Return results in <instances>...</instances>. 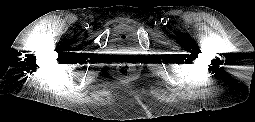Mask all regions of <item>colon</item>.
I'll use <instances>...</instances> for the list:
<instances>
[{
	"label": "colon",
	"instance_id": "5ec220e1",
	"mask_svg": "<svg viewBox=\"0 0 255 122\" xmlns=\"http://www.w3.org/2000/svg\"><path fill=\"white\" fill-rule=\"evenodd\" d=\"M118 72L123 77H130L132 76L134 69L130 64H122L120 65Z\"/></svg>",
	"mask_w": 255,
	"mask_h": 122
}]
</instances>
